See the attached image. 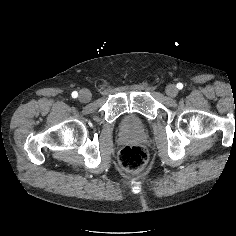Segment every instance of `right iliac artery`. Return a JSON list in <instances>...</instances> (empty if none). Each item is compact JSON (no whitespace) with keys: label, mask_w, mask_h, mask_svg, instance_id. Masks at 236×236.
Instances as JSON below:
<instances>
[{"label":"right iliac artery","mask_w":236,"mask_h":236,"mask_svg":"<svg viewBox=\"0 0 236 236\" xmlns=\"http://www.w3.org/2000/svg\"><path fill=\"white\" fill-rule=\"evenodd\" d=\"M71 95H72L73 98H77L78 97V93L76 91L72 92Z\"/></svg>","instance_id":"1"}]
</instances>
